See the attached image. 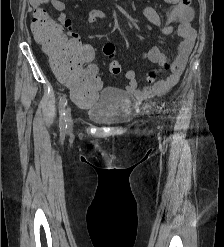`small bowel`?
Returning <instances> with one entry per match:
<instances>
[{"mask_svg": "<svg viewBox=\"0 0 224 247\" xmlns=\"http://www.w3.org/2000/svg\"><path fill=\"white\" fill-rule=\"evenodd\" d=\"M171 5V8L165 15V20L162 21L156 10L150 6L143 8V16L152 25L161 29L164 35H171L174 32L182 38L179 45L176 59L170 64V73L164 79L147 85L143 88L137 87L136 74L133 70H128L125 73L127 80L126 91L137 99H145L155 96H160L168 92L175 84L185 68L189 54L191 53L195 39L196 31L191 26L194 18V11L190 6V0H164ZM31 5L36 9L41 6L50 5L58 13L59 23L67 30V35L70 39L79 41L81 36L74 29L71 20L66 18L65 4L61 0H30ZM108 15L101 10H92L87 14L86 20L88 23H94L98 19H107ZM143 59L164 66L169 63L165 54L156 46H151L141 53Z\"/></svg>", "mask_w": 224, "mask_h": 247, "instance_id": "c3829d8e", "label": "small bowel"}]
</instances>
